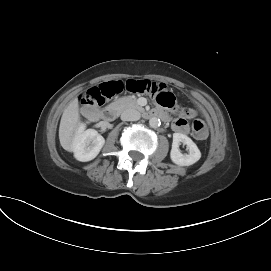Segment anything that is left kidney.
<instances>
[{"label": "left kidney", "mask_w": 271, "mask_h": 271, "mask_svg": "<svg viewBox=\"0 0 271 271\" xmlns=\"http://www.w3.org/2000/svg\"><path fill=\"white\" fill-rule=\"evenodd\" d=\"M180 143L187 145L188 154H182L180 152ZM170 157L171 160L179 166H190L201 158V152L191 138L181 133H174Z\"/></svg>", "instance_id": "left-kidney-1"}]
</instances>
